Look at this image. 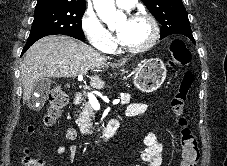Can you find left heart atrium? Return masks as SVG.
<instances>
[{"mask_svg":"<svg viewBox=\"0 0 227 166\" xmlns=\"http://www.w3.org/2000/svg\"><path fill=\"white\" fill-rule=\"evenodd\" d=\"M118 37H119L120 40L122 39V33L121 32L118 33Z\"/></svg>","mask_w":227,"mask_h":166,"instance_id":"39dd6f15","label":"left heart atrium"}]
</instances>
